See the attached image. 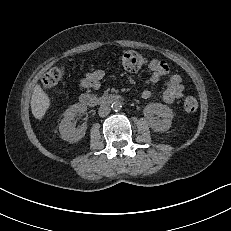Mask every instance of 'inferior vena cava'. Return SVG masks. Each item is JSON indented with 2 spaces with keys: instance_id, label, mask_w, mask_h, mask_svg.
Returning a JSON list of instances; mask_svg holds the SVG:
<instances>
[{
  "instance_id": "obj_1",
  "label": "inferior vena cava",
  "mask_w": 231,
  "mask_h": 231,
  "mask_svg": "<svg viewBox=\"0 0 231 231\" xmlns=\"http://www.w3.org/2000/svg\"><path fill=\"white\" fill-rule=\"evenodd\" d=\"M110 111H111V108L109 106L102 105L100 106L98 110V114L100 117H105L110 113Z\"/></svg>"
}]
</instances>
